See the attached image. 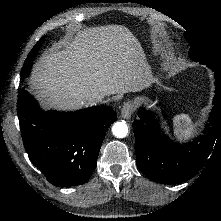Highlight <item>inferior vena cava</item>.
Returning a JSON list of instances; mask_svg holds the SVG:
<instances>
[{
	"label": "inferior vena cava",
	"mask_w": 221,
	"mask_h": 221,
	"mask_svg": "<svg viewBox=\"0 0 221 221\" xmlns=\"http://www.w3.org/2000/svg\"><path fill=\"white\" fill-rule=\"evenodd\" d=\"M90 104L102 102L104 100V95L102 94H92L86 99Z\"/></svg>",
	"instance_id": "inferior-vena-cava-1"
}]
</instances>
